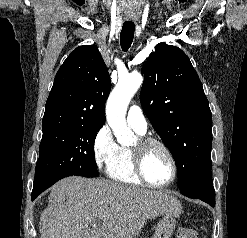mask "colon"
<instances>
[{"mask_svg":"<svg viewBox=\"0 0 247 238\" xmlns=\"http://www.w3.org/2000/svg\"><path fill=\"white\" fill-rule=\"evenodd\" d=\"M176 238H200L198 233L190 228L181 227L176 231Z\"/></svg>","mask_w":247,"mask_h":238,"instance_id":"colon-1","label":"colon"}]
</instances>
